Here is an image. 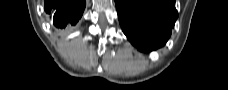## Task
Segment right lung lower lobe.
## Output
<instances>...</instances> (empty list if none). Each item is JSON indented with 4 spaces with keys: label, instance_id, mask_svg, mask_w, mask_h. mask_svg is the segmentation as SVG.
Wrapping results in <instances>:
<instances>
[{
    "label": "right lung lower lobe",
    "instance_id": "right-lung-lower-lobe-1",
    "mask_svg": "<svg viewBox=\"0 0 228 90\" xmlns=\"http://www.w3.org/2000/svg\"><path fill=\"white\" fill-rule=\"evenodd\" d=\"M84 8L85 0H45L44 10L53 16L55 26L65 28L77 23Z\"/></svg>",
    "mask_w": 228,
    "mask_h": 90
}]
</instances>
